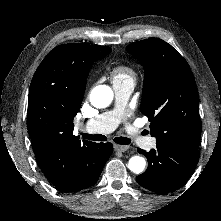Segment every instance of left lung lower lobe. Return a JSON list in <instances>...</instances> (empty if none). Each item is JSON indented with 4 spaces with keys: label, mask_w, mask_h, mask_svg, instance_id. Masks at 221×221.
Masks as SVG:
<instances>
[{
    "label": "left lung lower lobe",
    "mask_w": 221,
    "mask_h": 221,
    "mask_svg": "<svg viewBox=\"0 0 221 221\" xmlns=\"http://www.w3.org/2000/svg\"><path fill=\"white\" fill-rule=\"evenodd\" d=\"M156 149L137 151L148 160L147 170L136 177L142 187L157 193H168L180 188L193 173L199 151L192 147L156 144Z\"/></svg>",
    "instance_id": "left-lung-lower-lobe-1"
}]
</instances>
